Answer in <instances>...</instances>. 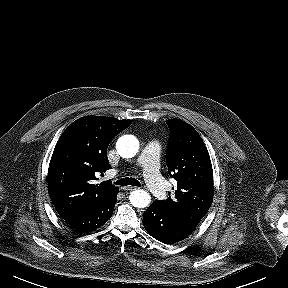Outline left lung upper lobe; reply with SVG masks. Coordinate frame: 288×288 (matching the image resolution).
I'll use <instances>...</instances> for the list:
<instances>
[{
	"label": "left lung upper lobe",
	"mask_w": 288,
	"mask_h": 288,
	"mask_svg": "<svg viewBox=\"0 0 288 288\" xmlns=\"http://www.w3.org/2000/svg\"><path fill=\"white\" fill-rule=\"evenodd\" d=\"M167 124L170 138L166 163L169 174L177 181V188L172 198L155 201L167 212L197 225L213 201L210 156L202 138L188 123L171 119Z\"/></svg>",
	"instance_id": "obj_1"
}]
</instances>
